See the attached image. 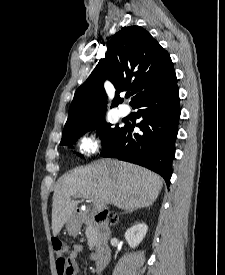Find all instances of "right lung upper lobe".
Returning <instances> with one entry per match:
<instances>
[{"label":"right lung upper lobe","instance_id":"right-lung-upper-lobe-1","mask_svg":"<svg viewBox=\"0 0 225 275\" xmlns=\"http://www.w3.org/2000/svg\"><path fill=\"white\" fill-rule=\"evenodd\" d=\"M106 79L116 88L111 107L122 103L119 93L127 89L132 91V106L141 97L172 83L176 75L168 52L149 32L139 26L125 27L111 38L105 59L76 90L65 127L102 113Z\"/></svg>","mask_w":225,"mask_h":275}]
</instances>
